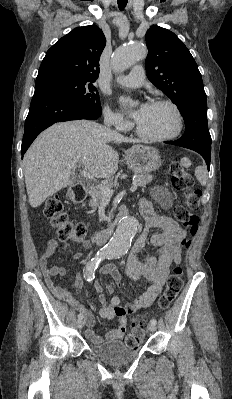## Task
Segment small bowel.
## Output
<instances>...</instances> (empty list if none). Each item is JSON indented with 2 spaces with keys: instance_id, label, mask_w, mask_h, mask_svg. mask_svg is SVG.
Listing matches in <instances>:
<instances>
[{
  "instance_id": "c3829d8e",
  "label": "small bowel",
  "mask_w": 232,
  "mask_h": 399,
  "mask_svg": "<svg viewBox=\"0 0 232 399\" xmlns=\"http://www.w3.org/2000/svg\"><path fill=\"white\" fill-rule=\"evenodd\" d=\"M140 208L146 217V225L135 240L134 247L129 253L128 263L125 267V274L137 290H142V277H146L150 281L148 289L137 299L133 305H120V299L114 289H110L109 293L113 295L111 304H107L106 296L99 282H95V290L101 303L100 316L108 319L117 315L120 317L119 326L116 331L106 333L111 345H119L121 336L126 333L128 326L126 322V314L138 309H145L153 306L162 290L166 277L168 276L169 267L179 262L181 241L185 237L183 229L178 227L172 220L160 219L157 216L155 206L148 200L140 201ZM153 227L161 229L160 233L151 237L153 245L159 248L157 254L143 255L142 251L149 239V231ZM70 243H65V249H69ZM90 242H83L82 247L86 250L91 248ZM57 242L50 240L48 249L41 260V267L44 271L46 283L49 291L54 295H61L74 307H76L84 316V320L80 322L79 329L82 330L94 345H102V337L93 329L96 316L86 306L79 305L72 300L67 294L70 289H76L80 286L81 275L78 274L75 282L71 287H56L53 283V276L59 273L58 267L48 268V260L56 255ZM82 255L79 252L73 254L75 260H80ZM101 275L110 277L117 281L119 291H123L124 284L118 278L113 269L105 267L101 270Z\"/></svg>"
}]
</instances>
